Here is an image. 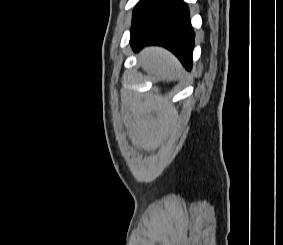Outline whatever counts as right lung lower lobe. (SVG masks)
<instances>
[{"instance_id": "obj_1", "label": "right lung lower lobe", "mask_w": 283, "mask_h": 245, "mask_svg": "<svg viewBox=\"0 0 283 245\" xmlns=\"http://www.w3.org/2000/svg\"><path fill=\"white\" fill-rule=\"evenodd\" d=\"M132 22L130 44L134 51L145 45H160L191 70L194 32L183 0H154Z\"/></svg>"}]
</instances>
